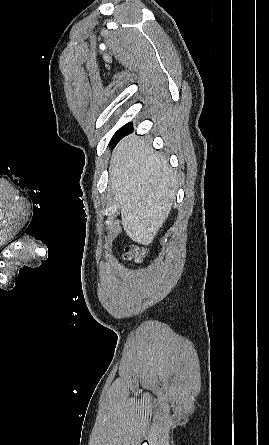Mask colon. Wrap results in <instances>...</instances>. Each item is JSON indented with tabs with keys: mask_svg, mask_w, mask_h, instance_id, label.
Masks as SVG:
<instances>
[{
	"mask_svg": "<svg viewBox=\"0 0 269 445\" xmlns=\"http://www.w3.org/2000/svg\"><path fill=\"white\" fill-rule=\"evenodd\" d=\"M145 255V251L143 248L138 246H130L125 249L124 258L130 262H138Z\"/></svg>",
	"mask_w": 269,
	"mask_h": 445,
	"instance_id": "colon-1",
	"label": "colon"
}]
</instances>
